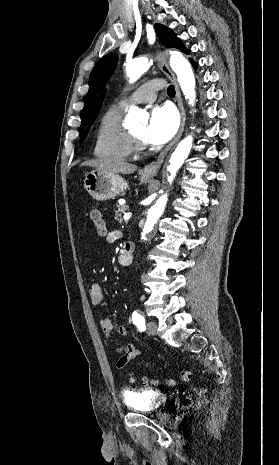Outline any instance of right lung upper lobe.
<instances>
[{"mask_svg": "<svg viewBox=\"0 0 279 465\" xmlns=\"http://www.w3.org/2000/svg\"><path fill=\"white\" fill-rule=\"evenodd\" d=\"M104 97H105V87L102 88V90H101V92H100V94H99V97H98V99H97V103H96V105H95V108H94V110H93V113H92L90 122H89V124H88V128L91 126V124H92V123L94 122V120L96 119V117H97V115H98V113H99V110H100V108H101V106H102V102H103ZM87 130H88V129H87ZM87 130H86V132L84 133V135L87 134Z\"/></svg>", "mask_w": 279, "mask_h": 465, "instance_id": "cb5924a9", "label": "right lung upper lobe"}]
</instances>
